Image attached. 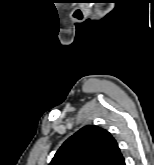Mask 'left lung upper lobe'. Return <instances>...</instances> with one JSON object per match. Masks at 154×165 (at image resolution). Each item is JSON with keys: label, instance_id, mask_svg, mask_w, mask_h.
I'll list each match as a JSON object with an SVG mask.
<instances>
[{"label": "left lung upper lobe", "instance_id": "left-lung-upper-lobe-1", "mask_svg": "<svg viewBox=\"0 0 154 165\" xmlns=\"http://www.w3.org/2000/svg\"><path fill=\"white\" fill-rule=\"evenodd\" d=\"M122 158L108 131L88 125L63 143L49 165H118Z\"/></svg>", "mask_w": 154, "mask_h": 165}]
</instances>
